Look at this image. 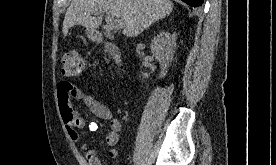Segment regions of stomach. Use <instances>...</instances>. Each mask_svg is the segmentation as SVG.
Segmentation results:
<instances>
[{
  "mask_svg": "<svg viewBox=\"0 0 276 165\" xmlns=\"http://www.w3.org/2000/svg\"><path fill=\"white\" fill-rule=\"evenodd\" d=\"M86 33L90 39H95L97 37V32L93 29L87 28Z\"/></svg>",
  "mask_w": 276,
  "mask_h": 165,
  "instance_id": "stomach-1",
  "label": "stomach"
}]
</instances>
